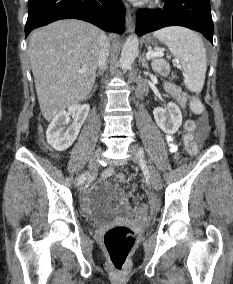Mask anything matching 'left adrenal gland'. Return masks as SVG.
<instances>
[{"instance_id": "obj_1", "label": "left adrenal gland", "mask_w": 233, "mask_h": 284, "mask_svg": "<svg viewBox=\"0 0 233 284\" xmlns=\"http://www.w3.org/2000/svg\"><path fill=\"white\" fill-rule=\"evenodd\" d=\"M141 64L143 67H145L146 69H149L145 54H143L142 59H141Z\"/></svg>"}]
</instances>
